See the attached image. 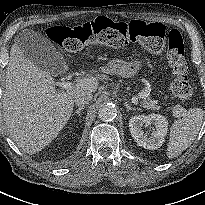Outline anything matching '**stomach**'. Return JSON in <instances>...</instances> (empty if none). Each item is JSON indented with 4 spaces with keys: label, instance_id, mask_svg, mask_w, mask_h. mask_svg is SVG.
<instances>
[{
    "label": "stomach",
    "instance_id": "0dacf381",
    "mask_svg": "<svg viewBox=\"0 0 205 205\" xmlns=\"http://www.w3.org/2000/svg\"><path fill=\"white\" fill-rule=\"evenodd\" d=\"M143 64L141 59H134L130 62L113 61L106 71L122 77H134L141 70Z\"/></svg>",
    "mask_w": 205,
    "mask_h": 205
}]
</instances>
